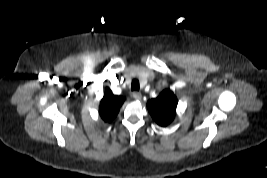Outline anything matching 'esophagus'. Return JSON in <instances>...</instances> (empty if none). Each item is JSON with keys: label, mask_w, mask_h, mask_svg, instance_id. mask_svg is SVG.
I'll use <instances>...</instances> for the list:
<instances>
[{"label": "esophagus", "mask_w": 267, "mask_h": 178, "mask_svg": "<svg viewBox=\"0 0 267 178\" xmlns=\"http://www.w3.org/2000/svg\"><path fill=\"white\" fill-rule=\"evenodd\" d=\"M132 96H133V98H134L135 100H140V99H141V93L138 92V91H134V92L132 93Z\"/></svg>", "instance_id": "1"}]
</instances>
